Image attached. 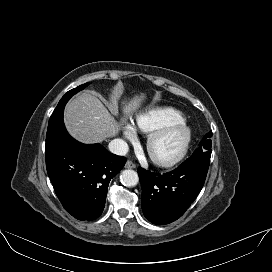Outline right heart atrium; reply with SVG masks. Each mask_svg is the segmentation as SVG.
Masks as SVG:
<instances>
[{
	"label": "right heart atrium",
	"mask_w": 272,
	"mask_h": 272,
	"mask_svg": "<svg viewBox=\"0 0 272 272\" xmlns=\"http://www.w3.org/2000/svg\"><path fill=\"white\" fill-rule=\"evenodd\" d=\"M124 135L126 138L133 140L136 138V132L133 127L131 126H125L124 128Z\"/></svg>",
	"instance_id": "d8ad5b80"
}]
</instances>
